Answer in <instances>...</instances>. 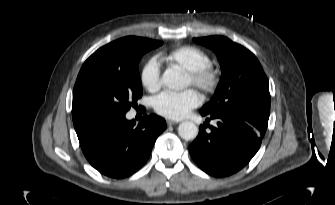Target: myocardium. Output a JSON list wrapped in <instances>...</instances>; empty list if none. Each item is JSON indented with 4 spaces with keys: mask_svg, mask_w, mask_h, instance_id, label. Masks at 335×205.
Instances as JSON below:
<instances>
[{
    "mask_svg": "<svg viewBox=\"0 0 335 205\" xmlns=\"http://www.w3.org/2000/svg\"><path fill=\"white\" fill-rule=\"evenodd\" d=\"M190 83L205 93L214 92L220 83V71L211 63L189 72Z\"/></svg>",
    "mask_w": 335,
    "mask_h": 205,
    "instance_id": "obj_1",
    "label": "myocardium"
}]
</instances>
